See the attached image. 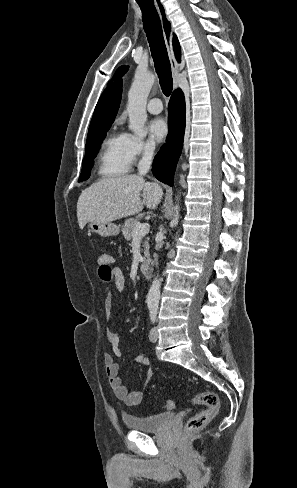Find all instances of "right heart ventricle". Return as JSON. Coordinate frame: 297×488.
<instances>
[{"mask_svg": "<svg viewBox=\"0 0 297 488\" xmlns=\"http://www.w3.org/2000/svg\"><path fill=\"white\" fill-rule=\"evenodd\" d=\"M130 161L125 152L123 134H111L103 142L98 157V174L116 177L126 173Z\"/></svg>", "mask_w": 297, "mask_h": 488, "instance_id": "obj_1", "label": "right heart ventricle"}]
</instances>
